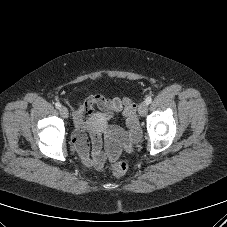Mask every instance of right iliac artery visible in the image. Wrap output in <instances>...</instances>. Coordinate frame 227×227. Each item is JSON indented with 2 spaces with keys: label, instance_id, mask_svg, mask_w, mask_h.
I'll list each match as a JSON object with an SVG mask.
<instances>
[{
  "label": "right iliac artery",
  "instance_id": "1",
  "mask_svg": "<svg viewBox=\"0 0 227 227\" xmlns=\"http://www.w3.org/2000/svg\"><path fill=\"white\" fill-rule=\"evenodd\" d=\"M55 107L59 109L61 107V104L59 102H57V103H55Z\"/></svg>",
  "mask_w": 227,
  "mask_h": 227
}]
</instances>
